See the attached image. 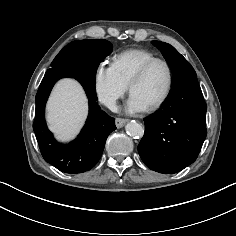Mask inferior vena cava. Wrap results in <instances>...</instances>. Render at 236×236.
<instances>
[{"label": "inferior vena cava", "instance_id": "602c4592", "mask_svg": "<svg viewBox=\"0 0 236 236\" xmlns=\"http://www.w3.org/2000/svg\"><path fill=\"white\" fill-rule=\"evenodd\" d=\"M106 106L114 113L118 112V107L116 105V102L114 100H109L106 102Z\"/></svg>", "mask_w": 236, "mask_h": 236}]
</instances>
